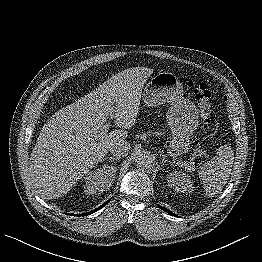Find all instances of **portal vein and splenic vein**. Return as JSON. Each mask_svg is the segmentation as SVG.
Returning a JSON list of instances; mask_svg holds the SVG:
<instances>
[{"label": "portal vein and splenic vein", "instance_id": "18ae733b", "mask_svg": "<svg viewBox=\"0 0 262 262\" xmlns=\"http://www.w3.org/2000/svg\"><path fill=\"white\" fill-rule=\"evenodd\" d=\"M113 119V115L110 114L108 122L102 127L101 134H107L109 127L111 126V120ZM199 156H205L206 158H210V156L203 150H198ZM191 164V163H190Z\"/></svg>", "mask_w": 262, "mask_h": 262}]
</instances>
